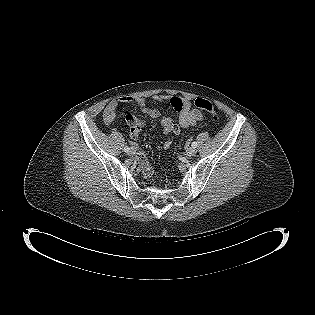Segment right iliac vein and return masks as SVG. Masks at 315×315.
<instances>
[{
  "label": "right iliac vein",
  "instance_id": "63e3f726",
  "mask_svg": "<svg viewBox=\"0 0 315 315\" xmlns=\"http://www.w3.org/2000/svg\"><path fill=\"white\" fill-rule=\"evenodd\" d=\"M136 153V149L135 148H131L129 151L130 155H134Z\"/></svg>",
  "mask_w": 315,
  "mask_h": 315
}]
</instances>
